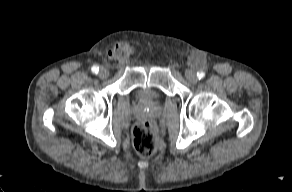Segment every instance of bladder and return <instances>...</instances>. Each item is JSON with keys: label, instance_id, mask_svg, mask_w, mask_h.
Instances as JSON below:
<instances>
[{"label": "bladder", "instance_id": "1", "mask_svg": "<svg viewBox=\"0 0 292 192\" xmlns=\"http://www.w3.org/2000/svg\"><path fill=\"white\" fill-rule=\"evenodd\" d=\"M136 96L143 102H151L159 97V94L151 89H139L136 91Z\"/></svg>", "mask_w": 292, "mask_h": 192}]
</instances>
